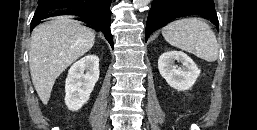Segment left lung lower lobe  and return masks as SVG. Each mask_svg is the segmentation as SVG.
I'll return each mask as SVG.
<instances>
[{
	"mask_svg": "<svg viewBox=\"0 0 257 130\" xmlns=\"http://www.w3.org/2000/svg\"><path fill=\"white\" fill-rule=\"evenodd\" d=\"M191 15L212 21L218 29L219 21L213 0H153L146 24V40L153 31L167 23Z\"/></svg>",
	"mask_w": 257,
	"mask_h": 130,
	"instance_id": "0a47b994",
	"label": "left lung lower lobe"
}]
</instances>
